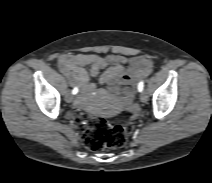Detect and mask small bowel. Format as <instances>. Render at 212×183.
<instances>
[{
    "mask_svg": "<svg viewBox=\"0 0 212 183\" xmlns=\"http://www.w3.org/2000/svg\"><path fill=\"white\" fill-rule=\"evenodd\" d=\"M58 63L70 83L77 84L81 90L74 103L76 108L89 103L95 91L93 78L96 76L99 75L101 85L128 87L137 85L153 68L152 61L143 55L127 58L120 54H65L59 57Z\"/></svg>",
    "mask_w": 212,
    "mask_h": 183,
    "instance_id": "obj_1",
    "label": "small bowel"
}]
</instances>
